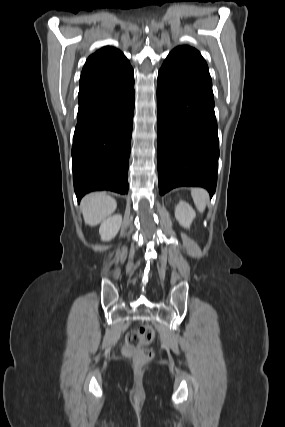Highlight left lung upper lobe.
I'll return each mask as SVG.
<instances>
[{"label":"left lung upper lobe","mask_w":285,"mask_h":427,"mask_svg":"<svg viewBox=\"0 0 285 427\" xmlns=\"http://www.w3.org/2000/svg\"><path fill=\"white\" fill-rule=\"evenodd\" d=\"M171 53H181L186 54L192 57L198 64H200L202 67L206 68L208 70L207 64L204 60V58L201 56V54L194 48L190 46H179L176 47L174 50H172Z\"/></svg>","instance_id":"obj_1"}]
</instances>
